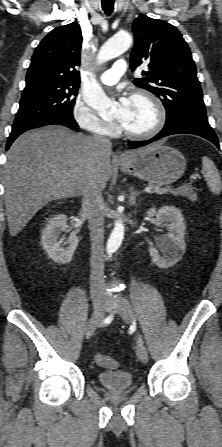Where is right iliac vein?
<instances>
[{
  "label": "right iliac vein",
  "mask_w": 222,
  "mask_h": 447,
  "mask_svg": "<svg viewBox=\"0 0 222 447\" xmlns=\"http://www.w3.org/2000/svg\"><path fill=\"white\" fill-rule=\"evenodd\" d=\"M105 312H106L105 307L103 306L95 307L94 312L85 328V337L87 339L91 337L95 326L103 320Z\"/></svg>",
  "instance_id": "obj_1"
}]
</instances>
